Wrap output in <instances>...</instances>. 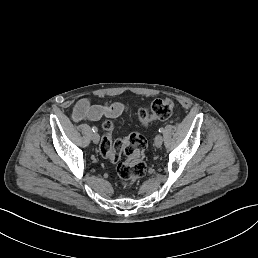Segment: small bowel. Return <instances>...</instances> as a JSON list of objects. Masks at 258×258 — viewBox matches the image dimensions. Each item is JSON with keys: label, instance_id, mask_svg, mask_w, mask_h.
<instances>
[{"label": "small bowel", "instance_id": "obj_1", "mask_svg": "<svg viewBox=\"0 0 258 258\" xmlns=\"http://www.w3.org/2000/svg\"><path fill=\"white\" fill-rule=\"evenodd\" d=\"M124 109V104L120 102L92 104L89 99L84 98L77 102L73 111V119L78 122L85 119L97 121L102 117L117 118Z\"/></svg>", "mask_w": 258, "mask_h": 258}]
</instances>
